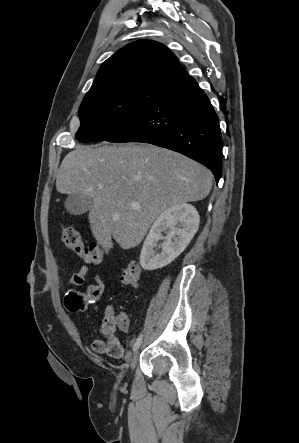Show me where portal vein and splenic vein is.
I'll use <instances>...</instances> for the list:
<instances>
[{
  "label": "portal vein and splenic vein",
  "instance_id": "18ae733b",
  "mask_svg": "<svg viewBox=\"0 0 299 443\" xmlns=\"http://www.w3.org/2000/svg\"><path fill=\"white\" fill-rule=\"evenodd\" d=\"M99 188L102 189L103 187H102V186H99ZM132 207H134V208H140V205H139V204H136V203H133V204H132Z\"/></svg>",
  "mask_w": 299,
  "mask_h": 443
}]
</instances>
